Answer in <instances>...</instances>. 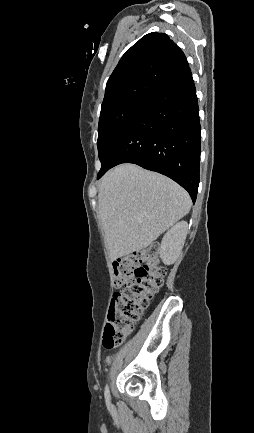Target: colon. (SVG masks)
Listing matches in <instances>:
<instances>
[{"label":"colon","instance_id":"5ec220e1","mask_svg":"<svg viewBox=\"0 0 254 433\" xmlns=\"http://www.w3.org/2000/svg\"><path fill=\"white\" fill-rule=\"evenodd\" d=\"M113 268L119 291L115 293L108 313L103 338L105 349L122 344L163 285L165 275L155 245L118 259Z\"/></svg>","mask_w":254,"mask_h":433}]
</instances>
